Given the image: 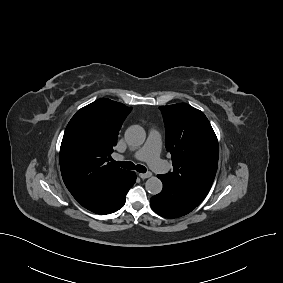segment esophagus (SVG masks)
Returning <instances> with one entry per match:
<instances>
[{"mask_svg": "<svg viewBox=\"0 0 283 283\" xmlns=\"http://www.w3.org/2000/svg\"><path fill=\"white\" fill-rule=\"evenodd\" d=\"M139 176H140V178H142V179H147V178H150V177L152 176V173H151V172L140 173Z\"/></svg>", "mask_w": 283, "mask_h": 283, "instance_id": "34e87169", "label": "esophagus"}]
</instances>
